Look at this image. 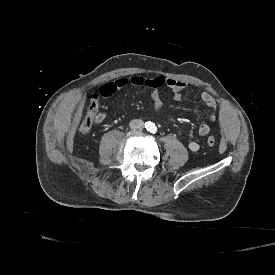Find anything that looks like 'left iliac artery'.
Returning <instances> with one entry per match:
<instances>
[{
    "mask_svg": "<svg viewBox=\"0 0 275 275\" xmlns=\"http://www.w3.org/2000/svg\"><path fill=\"white\" fill-rule=\"evenodd\" d=\"M157 131V129L156 128H153V133H155Z\"/></svg>",
    "mask_w": 275,
    "mask_h": 275,
    "instance_id": "1",
    "label": "left iliac artery"
}]
</instances>
